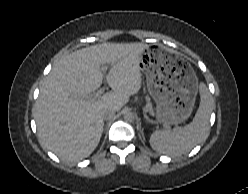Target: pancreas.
I'll return each instance as SVG.
<instances>
[{
  "label": "pancreas",
  "instance_id": "cf45deb5",
  "mask_svg": "<svg viewBox=\"0 0 248 194\" xmlns=\"http://www.w3.org/2000/svg\"><path fill=\"white\" fill-rule=\"evenodd\" d=\"M146 101H147V104L144 107V111L145 112L152 113L153 112V108H152V104L150 103V98L149 97H146Z\"/></svg>",
  "mask_w": 248,
  "mask_h": 194
}]
</instances>
